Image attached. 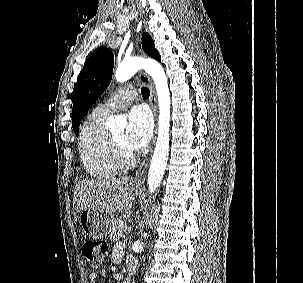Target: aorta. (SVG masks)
Listing matches in <instances>:
<instances>
[{
    "label": "aorta",
    "mask_w": 303,
    "mask_h": 283,
    "mask_svg": "<svg viewBox=\"0 0 303 283\" xmlns=\"http://www.w3.org/2000/svg\"><path fill=\"white\" fill-rule=\"evenodd\" d=\"M144 69L154 80L159 105L158 136L148 172V192L153 194L160 187L167 166L170 147V92L168 79L163 67L153 59L133 57L123 60L117 67L115 78L123 83L138 70ZM106 125L110 129L125 127L126 120L121 116H111Z\"/></svg>",
    "instance_id": "aorta-1"
}]
</instances>
